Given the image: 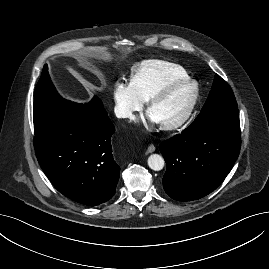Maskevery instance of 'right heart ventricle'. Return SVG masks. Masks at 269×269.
<instances>
[{"instance_id":"right-heart-ventricle-1","label":"right heart ventricle","mask_w":269,"mask_h":269,"mask_svg":"<svg viewBox=\"0 0 269 269\" xmlns=\"http://www.w3.org/2000/svg\"><path fill=\"white\" fill-rule=\"evenodd\" d=\"M188 77L186 70L177 64L162 60H147L138 67L131 83L141 98L148 101L160 89Z\"/></svg>"}]
</instances>
